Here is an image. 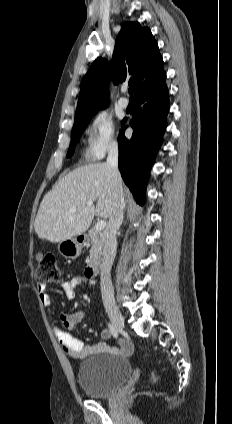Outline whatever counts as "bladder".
I'll use <instances>...</instances> for the list:
<instances>
[{"instance_id": "31cf9c89", "label": "bladder", "mask_w": 232, "mask_h": 424, "mask_svg": "<svg viewBox=\"0 0 232 424\" xmlns=\"http://www.w3.org/2000/svg\"><path fill=\"white\" fill-rule=\"evenodd\" d=\"M126 358L95 355L78 366L77 382L91 398H107L116 393L131 375Z\"/></svg>"}]
</instances>
